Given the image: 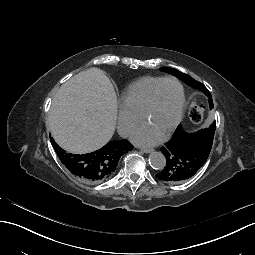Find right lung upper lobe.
Instances as JSON below:
<instances>
[{"mask_svg":"<svg viewBox=\"0 0 255 255\" xmlns=\"http://www.w3.org/2000/svg\"><path fill=\"white\" fill-rule=\"evenodd\" d=\"M51 142L62 164L77 178L90 183H100L110 178L116 170L120 157L133 149L129 141L119 140L110 141L104 147L94 152L85 155H75L65 153L53 138H51ZM86 155L100 159V175L92 180H85L83 178V157Z\"/></svg>","mask_w":255,"mask_h":255,"instance_id":"cb5924a9","label":"right lung upper lobe"}]
</instances>
